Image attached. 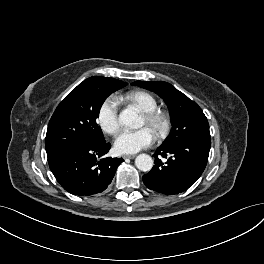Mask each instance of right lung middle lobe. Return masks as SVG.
I'll return each mask as SVG.
<instances>
[{"label":"right lung middle lobe","mask_w":264,"mask_h":264,"mask_svg":"<svg viewBox=\"0 0 264 264\" xmlns=\"http://www.w3.org/2000/svg\"><path fill=\"white\" fill-rule=\"evenodd\" d=\"M126 85L117 79L90 77L74 88L50 119L45 140L47 154L72 144L104 143L96 121L100 108L106 97Z\"/></svg>","instance_id":"right-lung-middle-lobe-1"}]
</instances>
